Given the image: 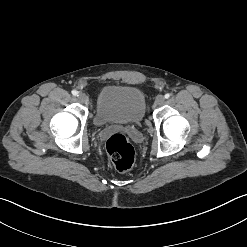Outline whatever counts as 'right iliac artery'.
<instances>
[{
  "label": "right iliac artery",
  "mask_w": 247,
  "mask_h": 247,
  "mask_svg": "<svg viewBox=\"0 0 247 247\" xmlns=\"http://www.w3.org/2000/svg\"><path fill=\"white\" fill-rule=\"evenodd\" d=\"M72 94H73L74 96H77V95H78V92H77L76 90H73V91H72Z\"/></svg>",
  "instance_id": "obj_1"
}]
</instances>
